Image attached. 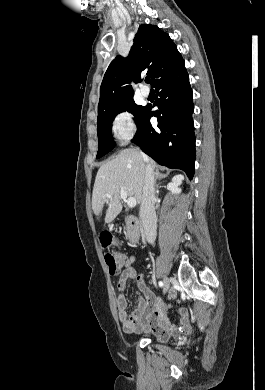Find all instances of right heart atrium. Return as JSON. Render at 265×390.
Wrapping results in <instances>:
<instances>
[{"instance_id":"obj_1","label":"right heart atrium","mask_w":265,"mask_h":390,"mask_svg":"<svg viewBox=\"0 0 265 390\" xmlns=\"http://www.w3.org/2000/svg\"><path fill=\"white\" fill-rule=\"evenodd\" d=\"M137 129L134 115L127 110L116 113L111 122V132L119 142L129 141Z\"/></svg>"}]
</instances>
